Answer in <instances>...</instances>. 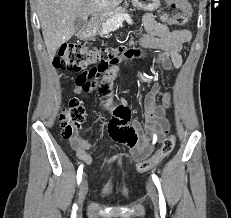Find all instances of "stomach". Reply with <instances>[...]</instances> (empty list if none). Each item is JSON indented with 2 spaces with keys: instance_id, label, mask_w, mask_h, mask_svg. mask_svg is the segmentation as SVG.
<instances>
[{
  "instance_id": "stomach-1",
  "label": "stomach",
  "mask_w": 231,
  "mask_h": 218,
  "mask_svg": "<svg viewBox=\"0 0 231 218\" xmlns=\"http://www.w3.org/2000/svg\"><path fill=\"white\" fill-rule=\"evenodd\" d=\"M132 6L134 9H143L146 11H153L156 10L160 6V0H131ZM124 9L117 8L114 13L116 12H123ZM113 13V14H114Z\"/></svg>"
}]
</instances>
